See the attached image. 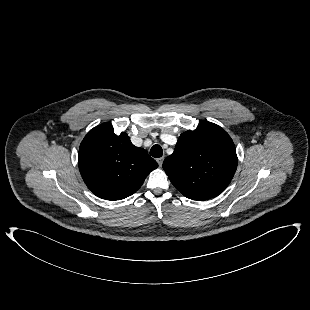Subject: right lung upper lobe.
<instances>
[{
    "mask_svg": "<svg viewBox=\"0 0 310 310\" xmlns=\"http://www.w3.org/2000/svg\"><path fill=\"white\" fill-rule=\"evenodd\" d=\"M78 166L96 196L121 200L135 193L158 164L145 149L134 146L125 132L116 135L113 126L106 122L84 137Z\"/></svg>",
    "mask_w": 310,
    "mask_h": 310,
    "instance_id": "cb5924a9",
    "label": "right lung upper lobe"
}]
</instances>
